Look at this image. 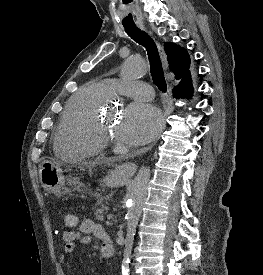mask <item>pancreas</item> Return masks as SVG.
<instances>
[{
    "label": "pancreas",
    "instance_id": "1",
    "mask_svg": "<svg viewBox=\"0 0 263 275\" xmlns=\"http://www.w3.org/2000/svg\"><path fill=\"white\" fill-rule=\"evenodd\" d=\"M97 205L99 206L95 212V216L97 220H103V216L105 214L106 206L103 204L107 197H102L101 195H96Z\"/></svg>",
    "mask_w": 263,
    "mask_h": 275
}]
</instances>
